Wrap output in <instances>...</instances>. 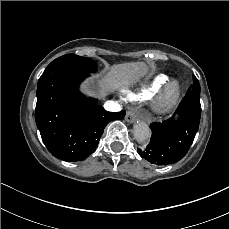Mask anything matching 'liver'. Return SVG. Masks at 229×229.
I'll use <instances>...</instances> for the list:
<instances>
[{"label": "liver", "mask_w": 229, "mask_h": 229, "mask_svg": "<svg viewBox=\"0 0 229 229\" xmlns=\"http://www.w3.org/2000/svg\"><path fill=\"white\" fill-rule=\"evenodd\" d=\"M148 71L149 67L144 62L115 64L101 78L94 76L95 82L86 80L81 85V91L89 96L104 98L111 92L128 88L147 75Z\"/></svg>", "instance_id": "6515ba94"}]
</instances>
